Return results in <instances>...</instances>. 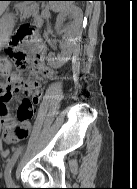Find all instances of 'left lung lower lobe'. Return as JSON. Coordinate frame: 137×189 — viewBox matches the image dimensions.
I'll return each instance as SVG.
<instances>
[{
    "label": "left lung lower lobe",
    "mask_w": 137,
    "mask_h": 189,
    "mask_svg": "<svg viewBox=\"0 0 137 189\" xmlns=\"http://www.w3.org/2000/svg\"><path fill=\"white\" fill-rule=\"evenodd\" d=\"M72 1H87V0H72Z\"/></svg>",
    "instance_id": "obj_1"
}]
</instances>
